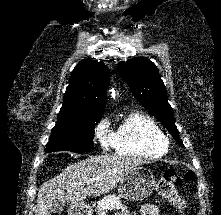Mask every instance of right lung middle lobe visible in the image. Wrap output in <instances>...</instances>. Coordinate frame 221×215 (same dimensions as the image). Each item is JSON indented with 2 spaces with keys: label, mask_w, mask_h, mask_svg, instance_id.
Masks as SVG:
<instances>
[{
  "label": "right lung middle lobe",
  "mask_w": 221,
  "mask_h": 215,
  "mask_svg": "<svg viewBox=\"0 0 221 215\" xmlns=\"http://www.w3.org/2000/svg\"><path fill=\"white\" fill-rule=\"evenodd\" d=\"M101 117L102 115L58 113L57 123L51 130L46 152L89 151L94 147V129Z\"/></svg>",
  "instance_id": "1"
}]
</instances>
